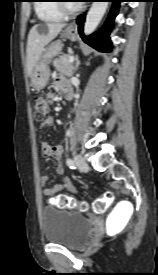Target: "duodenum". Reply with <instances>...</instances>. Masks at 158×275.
Listing matches in <instances>:
<instances>
[{"label": "duodenum", "instance_id": "1", "mask_svg": "<svg viewBox=\"0 0 158 275\" xmlns=\"http://www.w3.org/2000/svg\"><path fill=\"white\" fill-rule=\"evenodd\" d=\"M62 94L64 96H69V88H65L63 91H62Z\"/></svg>", "mask_w": 158, "mask_h": 275}]
</instances>
